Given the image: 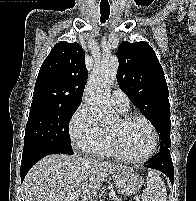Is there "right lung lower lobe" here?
Segmentation results:
<instances>
[{"instance_id": "98d812e1", "label": "right lung lower lobe", "mask_w": 196, "mask_h": 201, "mask_svg": "<svg viewBox=\"0 0 196 201\" xmlns=\"http://www.w3.org/2000/svg\"><path fill=\"white\" fill-rule=\"evenodd\" d=\"M72 150H66L55 146H38L23 152L21 161V182L24 180L30 168L41 158L50 154H73Z\"/></svg>"}]
</instances>
